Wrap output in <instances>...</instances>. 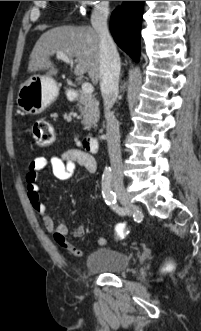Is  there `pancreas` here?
<instances>
[{"mask_svg":"<svg viewBox=\"0 0 201 331\" xmlns=\"http://www.w3.org/2000/svg\"><path fill=\"white\" fill-rule=\"evenodd\" d=\"M79 111L83 116V125L85 129L91 128L99 119V106L96 98L92 94L79 92Z\"/></svg>","mask_w":201,"mask_h":331,"instance_id":"obj_1","label":"pancreas"}]
</instances>
